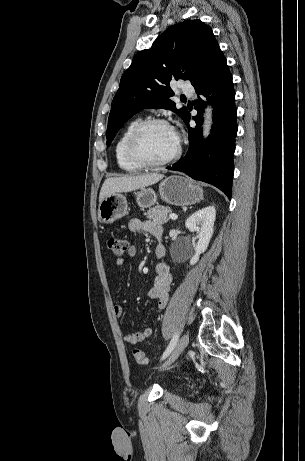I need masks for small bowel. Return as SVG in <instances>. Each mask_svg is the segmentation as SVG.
<instances>
[{"instance_id": "obj_1", "label": "small bowel", "mask_w": 305, "mask_h": 461, "mask_svg": "<svg viewBox=\"0 0 305 461\" xmlns=\"http://www.w3.org/2000/svg\"><path fill=\"white\" fill-rule=\"evenodd\" d=\"M129 230L133 233H148L156 238H160L162 235V227L160 224L150 220H142L138 218L131 219L129 222ZM137 255V248L135 246H129L126 250V256L133 258ZM166 255V249L162 244H157L155 247V256L160 259L156 264L155 272L156 277L151 287L148 296L150 299L156 302L155 309L157 312H161L165 307L169 299L172 275L168 264L162 259ZM116 265L122 268L125 265V258L119 257L116 260ZM113 313L116 316H121L123 308L119 304L113 305ZM154 329L152 327H146L143 330L137 332H127L123 335V339L127 344L135 345L145 338L152 336Z\"/></svg>"}]
</instances>
